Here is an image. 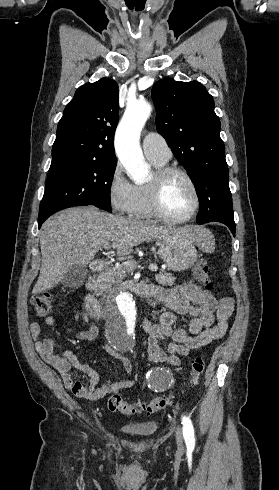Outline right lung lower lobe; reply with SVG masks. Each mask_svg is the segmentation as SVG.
I'll list each match as a JSON object with an SVG mask.
<instances>
[{
  "mask_svg": "<svg viewBox=\"0 0 279 490\" xmlns=\"http://www.w3.org/2000/svg\"><path fill=\"white\" fill-rule=\"evenodd\" d=\"M88 204H77V205H73V206H86ZM73 206H70V207H73ZM69 208V207H68ZM46 219H38V225H39V228L41 227L42 223L45 221Z\"/></svg>",
  "mask_w": 279,
  "mask_h": 490,
  "instance_id": "1",
  "label": "right lung lower lobe"
}]
</instances>
